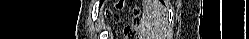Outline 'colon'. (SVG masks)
Here are the masks:
<instances>
[{"label":"colon","instance_id":"1","mask_svg":"<svg viewBox=\"0 0 249 39\" xmlns=\"http://www.w3.org/2000/svg\"><path fill=\"white\" fill-rule=\"evenodd\" d=\"M125 36L128 39H137L138 38V25L137 23H132L131 25H128L125 27L124 30Z\"/></svg>","mask_w":249,"mask_h":39}]
</instances>
